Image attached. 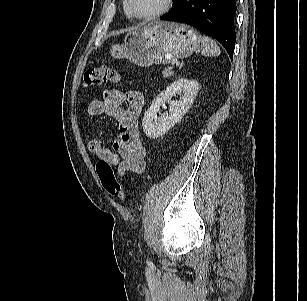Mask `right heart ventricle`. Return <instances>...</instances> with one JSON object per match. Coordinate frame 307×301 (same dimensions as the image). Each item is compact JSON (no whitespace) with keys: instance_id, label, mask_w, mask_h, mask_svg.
Here are the masks:
<instances>
[{"instance_id":"obj_1","label":"right heart ventricle","mask_w":307,"mask_h":301,"mask_svg":"<svg viewBox=\"0 0 307 301\" xmlns=\"http://www.w3.org/2000/svg\"><path fill=\"white\" fill-rule=\"evenodd\" d=\"M123 8H124V13L126 15L127 18H131L132 16L130 15L128 9H127V6H126V1L124 0L123 2Z\"/></svg>"}]
</instances>
